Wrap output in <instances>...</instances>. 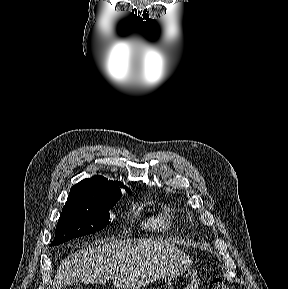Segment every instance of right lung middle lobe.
<instances>
[{
	"label": "right lung middle lobe",
	"instance_id": "obj_1",
	"mask_svg": "<svg viewBox=\"0 0 288 289\" xmlns=\"http://www.w3.org/2000/svg\"><path fill=\"white\" fill-rule=\"evenodd\" d=\"M120 197L121 192L118 191L105 192L97 196L69 195L50 246L94 233L107 226L110 223L109 210Z\"/></svg>",
	"mask_w": 288,
	"mask_h": 289
}]
</instances>
